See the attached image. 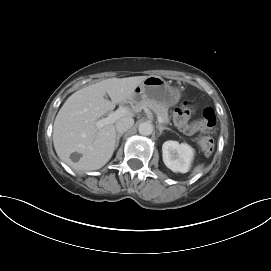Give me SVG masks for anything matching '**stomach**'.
I'll return each instance as SVG.
<instances>
[{
	"instance_id": "0dacf381",
	"label": "stomach",
	"mask_w": 271,
	"mask_h": 271,
	"mask_svg": "<svg viewBox=\"0 0 271 271\" xmlns=\"http://www.w3.org/2000/svg\"><path fill=\"white\" fill-rule=\"evenodd\" d=\"M181 92L160 76H148L135 89L134 100H151L165 107L174 106L180 99Z\"/></svg>"
}]
</instances>
